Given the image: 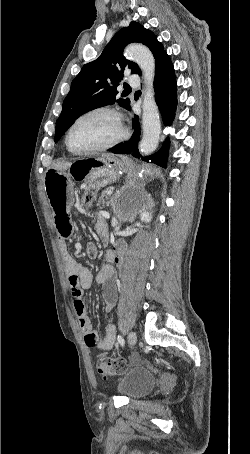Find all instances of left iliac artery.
Instances as JSON below:
<instances>
[{
    "mask_svg": "<svg viewBox=\"0 0 250 454\" xmlns=\"http://www.w3.org/2000/svg\"><path fill=\"white\" fill-rule=\"evenodd\" d=\"M118 342L123 346L124 345V339L121 335H118Z\"/></svg>",
    "mask_w": 250,
    "mask_h": 454,
    "instance_id": "1",
    "label": "left iliac artery"
}]
</instances>
